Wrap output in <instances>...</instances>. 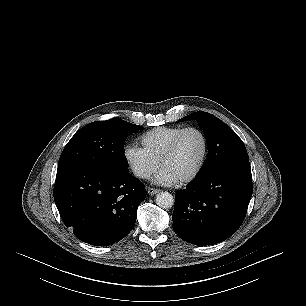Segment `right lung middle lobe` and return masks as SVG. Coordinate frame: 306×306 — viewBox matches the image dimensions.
<instances>
[{
	"label": "right lung middle lobe",
	"instance_id": "obj_1",
	"mask_svg": "<svg viewBox=\"0 0 306 306\" xmlns=\"http://www.w3.org/2000/svg\"><path fill=\"white\" fill-rule=\"evenodd\" d=\"M142 129L119 118L87 124L67 143L58 163L57 177L84 167L127 169L124 142Z\"/></svg>",
	"mask_w": 306,
	"mask_h": 306
}]
</instances>
